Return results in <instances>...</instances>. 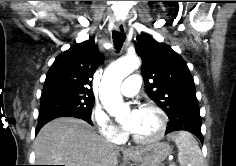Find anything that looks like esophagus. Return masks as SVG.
<instances>
[{"mask_svg": "<svg viewBox=\"0 0 236 166\" xmlns=\"http://www.w3.org/2000/svg\"><path fill=\"white\" fill-rule=\"evenodd\" d=\"M115 28L120 33H125V31H126V26H125V24L123 22H118L116 24ZM126 152L132 153V152H135V150L131 149V148H128V149H126Z\"/></svg>", "mask_w": 236, "mask_h": 166, "instance_id": "34e87169", "label": "esophagus"}]
</instances>
